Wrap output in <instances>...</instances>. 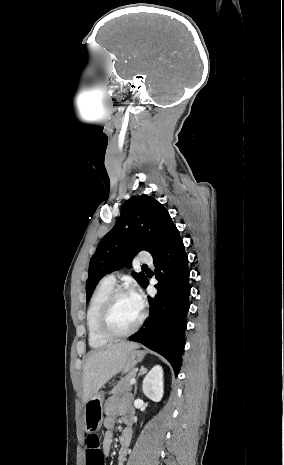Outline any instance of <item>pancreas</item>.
I'll use <instances>...</instances> for the list:
<instances>
[{"mask_svg":"<svg viewBox=\"0 0 284 465\" xmlns=\"http://www.w3.org/2000/svg\"><path fill=\"white\" fill-rule=\"evenodd\" d=\"M135 375V371H130L124 379L118 381L116 387H114L111 391L112 395H124V393H130V391H132V385H130L131 379H134Z\"/></svg>","mask_w":284,"mask_h":465,"instance_id":"1","label":"pancreas"}]
</instances>
